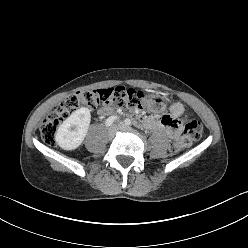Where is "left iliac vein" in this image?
<instances>
[{"label":"left iliac vein","mask_w":248,"mask_h":248,"mask_svg":"<svg viewBox=\"0 0 248 248\" xmlns=\"http://www.w3.org/2000/svg\"><path fill=\"white\" fill-rule=\"evenodd\" d=\"M118 127H119L120 130H123V131H130L131 130V128L128 127L127 125H125L124 123H120L118 125Z\"/></svg>","instance_id":"1"}]
</instances>
